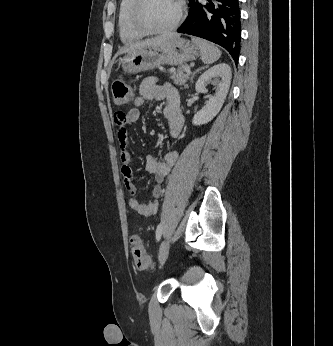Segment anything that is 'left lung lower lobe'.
Segmentation results:
<instances>
[{
	"label": "left lung lower lobe",
	"instance_id": "obj_1",
	"mask_svg": "<svg viewBox=\"0 0 333 346\" xmlns=\"http://www.w3.org/2000/svg\"><path fill=\"white\" fill-rule=\"evenodd\" d=\"M189 0V15L177 30L224 47L237 62L240 53L241 21L238 0Z\"/></svg>",
	"mask_w": 333,
	"mask_h": 346
}]
</instances>
